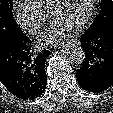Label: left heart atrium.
<instances>
[{"instance_id": "left-heart-atrium-1", "label": "left heart atrium", "mask_w": 113, "mask_h": 113, "mask_svg": "<svg viewBox=\"0 0 113 113\" xmlns=\"http://www.w3.org/2000/svg\"><path fill=\"white\" fill-rule=\"evenodd\" d=\"M71 28L66 27L58 22H53L43 35V41L51 44L65 37Z\"/></svg>"}]
</instances>
